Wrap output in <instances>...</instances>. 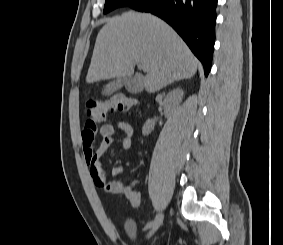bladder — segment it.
I'll return each instance as SVG.
<instances>
[{
    "mask_svg": "<svg viewBox=\"0 0 283 245\" xmlns=\"http://www.w3.org/2000/svg\"><path fill=\"white\" fill-rule=\"evenodd\" d=\"M126 229H127L128 234L130 235V237L133 238L135 236V233H136V225H135L134 221L128 220L126 222Z\"/></svg>",
    "mask_w": 283,
    "mask_h": 245,
    "instance_id": "bladder-1",
    "label": "bladder"
}]
</instances>
